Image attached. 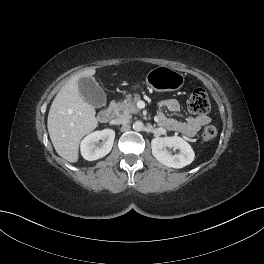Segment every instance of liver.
<instances>
[{
    "mask_svg": "<svg viewBox=\"0 0 264 264\" xmlns=\"http://www.w3.org/2000/svg\"><path fill=\"white\" fill-rule=\"evenodd\" d=\"M95 73L90 68L73 76L57 93L49 110L47 127L51 142L56 152L71 163L78 161L81 139L98 126L94 106L79 91V80Z\"/></svg>",
    "mask_w": 264,
    "mask_h": 264,
    "instance_id": "1",
    "label": "liver"
}]
</instances>
